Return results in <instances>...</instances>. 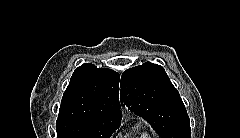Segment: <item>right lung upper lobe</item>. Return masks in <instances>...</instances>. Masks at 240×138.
<instances>
[{"instance_id":"right-lung-upper-lobe-1","label":"right lung upper lobe","mask_w":240,"mask_h":138,"mask_svg":"<svg viewBox=\"0 0 240 138\" xmlns=\"http://www.w3.org/2000/svg\"><path fill=\"white\" fill-rule=\"evenodd\" d=\"M119 74L83 64L76 68L63 94L58 119L120 125Z\"/></svg>"}]
</instances>
